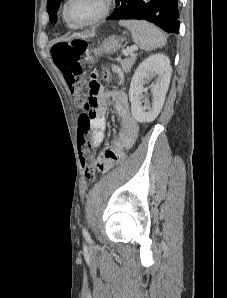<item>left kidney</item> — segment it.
Returning a JSON list of instances; mask_svg holds the SVG:
<instances>
[{
    "label": "left kidney",
    "instance_id": "1",
    "mask_svg": "<svg viewBox=\"0 0 227 298\" xmlns=\"http://www.w3.org/2000/svg\"><path fill=\"white\" fill-rule=\"evenodd\" d=\"M172 68L168 56L155 54L145 59L136 69L130 84L129 99L133 117L140 123L153 121L160 113L168 91ZM155 78V83L149 86L152 102L144 99L147 88L143 85ZM144 102V105L142 103Z\"/></svg>",
    "mask_w": 227,
    "mask_h": 298
}]
</instances>
